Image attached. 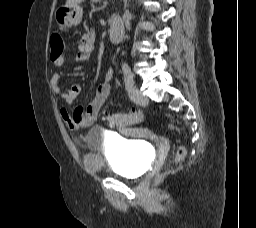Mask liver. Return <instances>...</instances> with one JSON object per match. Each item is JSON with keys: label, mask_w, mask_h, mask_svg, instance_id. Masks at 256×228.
<instances>
[{"label": "liver", "mask_w": 256, "mask_h": 228, "mask_svg": "<svg viewBox=\"0 0 256 228\" xmlns=\"http://www.w3.org/2000/svg\"><path fill=\"white\" fill-rule=\"evenodd\" d=\"M84 0H67L66 1V6L67 7H71V6H74V5H77L81 2H83Z\"/></svg>", "instance_id": "obj_1"}]
</instances>
